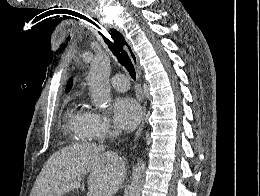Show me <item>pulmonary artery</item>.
Listing matches in <instances>:
<instances>
[{"mask_svg":"<svg viewBox=\"0 0 260 196\" xmlns=\"http://www.w3.org/2000/svg\"><path fill=\"white\" fill-rule=\"evenodd\" d=\"M107 84H128V76H113V79H107ZM112 90L126 91L128 85H112Z\"/></svg>","mask_w":260,"mask_h":196,"instance_id":"pulmonary-artery-1","label":"pulmonary artery"}]
</instances>
